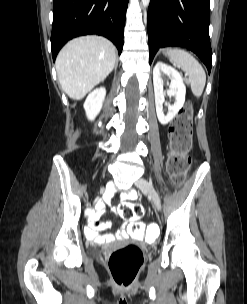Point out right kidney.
<instances>
[{
	"label": "right kidney",
	"instance_id": "ca27d5eb",
	"mask_svg": "<svg viewBox=\"0 0 247 304\" xmlns=\"http://www.w3.org/2000/svg\"><path fill=\"white\" fill-rule=\"evenodd\" d=\"M106 96L104 87L93 90L86 98L84 109L89 120H94L100 112Z\"/></svg>",
	"mask_w": 247,
	"mask_h": 304
}]
</instances>
